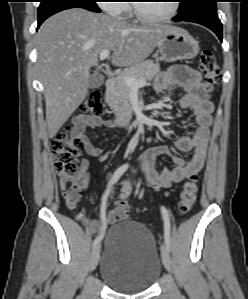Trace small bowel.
Listing matches in <instances>:
<instances>
[{
	"label": "small bowel",
	"mask_w": 248,
	"mask_h": 299,
	"mask_svg": "<svg viewBox=\"0 0 248 299\" xmlns=\"http://www.w3.org/2000/svg\"><path fill=\"white\" fill-rule=\"evenodd\" d=\"M173 86L183 90V94L179 99V105L182 109L191 110L197 123V129L194 134L178 138L175 146L180 152L191 151L192 155L185 161L179 156L172 155L165 145L158 144L147 149L141 156L140 167L148 186L168 188L173 184L188 179L202 169L206 159L212 124L213 104L202 82L201 74L197 70L187 67H173L170 71L158 75L155 83V92L158 96H163ZM112 126L113 123L111 121L103 120L98 116L81 115L74 119L72 133L82 138L84 150L88 156L101 158L104 155V150L91 143L84 135V132L86 129L109 128ZM166 154L172 156L175 166L173 169L158 170L156 165L157 157ZM82 166L84 168L87 166L86 160L82 161ZM87 183L88 177L85 176L83 184L87 186ZM131 190L130 181L125 182L119 195L120 199L122 201L126 200ZM119 206L120 204L105 216V224H113L122 220L119 214ZM77 219L90 232L95 231L100 225L99 221L89 219L82 213L77 214Z\"/></svg>",
	"instance_id": "obj_1"
}]
</instances>
